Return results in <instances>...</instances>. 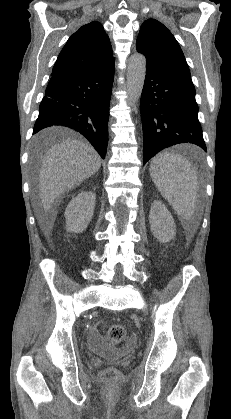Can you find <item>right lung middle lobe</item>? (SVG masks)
I'll list each match as a JSON object with an SVG mask.
<instances>
[{
	"label": "right lung middle lobe",
	"mask_w": 231,
	"mask_h": 419,
	"mask_svg": "<svg viewBox=\"0 0 231 419\" xmlns=\"http://www.w3.org/2000/svg\"><path fill=\"white\" fill-rule=\"evenodd\" d=\"M41 143H36L37 146H39Z\"/></svg>",
	"instance_id": "obj_1"
}]
</instances>
